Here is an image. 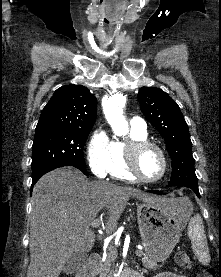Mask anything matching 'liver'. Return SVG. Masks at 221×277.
Instances as JSON below:
<instances>
[{"label":"liver","mask_w":221,"mask_h":277,"mask_svg":"<svg viewBox=\"0 0 221 277\" xmlns=\"http://www.w3.org/2000/svg\"><path fill=\"white\" fill-rule=\"evenodd\" d=\"M131 197L166 205V198L104 181L90 182L73 167L53 170L33 189L30 219V264L27 277H58L73 253L89 252L95 241L91 222L106 216L112 233Z\"/></svg>","instance_id":"obj_1"}]
</instances>
